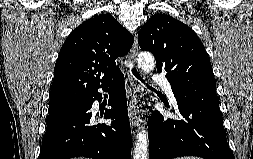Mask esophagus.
Instances as JSON below:
<instances>
[{
	"label": "esophagus",
	"instance_id": "esophagus-1",
	"mask_svg": "<svg viewBox=\"0 0 253 159\" xmlns=\"http://www.w3.org/2000/svg\"><path fill=\"white\" fill-rule=\"evenodd\" d=\"M137 53H138V42H137V36L135 35L134 43L129 55V58L132 61V63L136 62ZM127 73H128V80L130 82V86L132 87V90H133V95L130 98L129 107H128L129 119H130V123L133 130H135L139 127L140 121H141L140 116L138 114V104H137L138 100H137V96L135 95V93L139 90V86L137 84L136 79L132 76L131 72L128 71Z\"/></svg>",
	"mask_w": 253,
	"mask_h": 159
}]
</instances>
